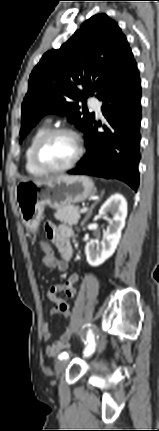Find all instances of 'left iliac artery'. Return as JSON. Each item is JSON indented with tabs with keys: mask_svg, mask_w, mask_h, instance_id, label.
Here are the masks:
<instances>
[{
	"mask_svg": "<svg viewBox=\"0 0 159 431\" xmlns=\"http://www.w3.org/2000/svg\"><path fill=\"white\" fill-rule=\"evenodd\" d=\"M87 343H88V345H87V348L85 350V356L91 355L95 349V340H94V336L92 334H90L88 336ZM68 357H69L68 354L66 352H64V353L60 354L58 358L60 360H62V359H67Z\"/></svg>",
	"mask_w": 159,
	"mask_h": 431,
	"instance_id": "left-iliac-artery-1",
	"label": "left iliac artery"
}]
</instances>
